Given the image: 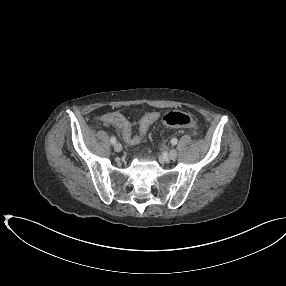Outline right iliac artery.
Returning <instances> with one entry per match:
<instances>
[{
	"label": "right iliac artery",
	"mask_w": 286,
	"mask_h": 286,
	"mask_svg": "<svg viewBox=\"0 0 286 286\" xmlns=\"http://www.w3.org/2000/svg\"><path fill=\"white\" fill-rule=\"evenodd\" d=\"M110 142H111L112 144H115V143H116V138H115L114 136H112V137L110 138Z\"/></svg>",
	"instance_id": "obj_1"
}]
</instances>
